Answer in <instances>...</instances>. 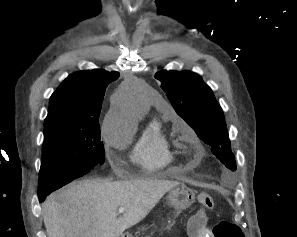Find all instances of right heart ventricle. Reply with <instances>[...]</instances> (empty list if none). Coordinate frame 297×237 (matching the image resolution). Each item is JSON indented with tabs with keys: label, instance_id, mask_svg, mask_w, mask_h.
Listing matches in <instances>:
<instances>
[{
	"label": "right heart ventricle",
	"instance_id": "e07e8e85",
	"mask_svg": "<svg viewBox=\"0 0 297 237\" xmlns=\"http://www.w3.org/2000/svg\"><path fill=\"white\" fill-rule=\"evenodd\" d=\"M162 114L167 116L166 110ZM184 154L171 143L160 119L154 118L143 128L133 146L132 160L146 171H157L171 165Z\"/></svg>",
	"mask_w": 297,
	"mask_h": 237
}]
</instances>
